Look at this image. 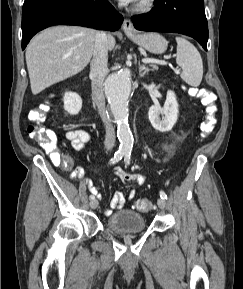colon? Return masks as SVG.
Returning <instances> with one entry per match:
<instances>
[{
  "label": "colon",
  "mask_w": 243,
  "mask_h": 289,
  "mask_svg": "<svg viewBox=\"0 0 243 289\" xmlns=\"http://www.w3.org/2000/svg\"><path fill=\"white\" fill-rule=\"evenodd\" d=\"M190 92L200 100L204 107L205 118L200 125V136L201 138H206L214 130L216 124L215 115L217 107L215 105V96L204 88H192ZM48 110V105L42 104L30 111L29 120L32 124L28 127V133L32 139L38 142L50 154L54 164L62 165L66 170H70L73 167L72 159L59 153L55 133L43 126ZM134 207L139 211L148 212L152 209L153 205L147 199H139L135 202Z\"/></svg>",
  "instance_id": "1"
}]
</instances>
